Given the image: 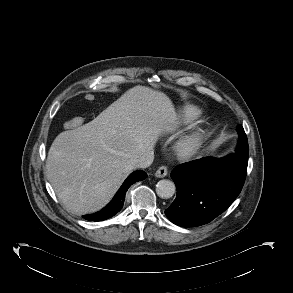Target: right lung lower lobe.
Segmentation results:
<instances>
[{"mask_svg":"<svg viewBox=\"0 0 293 293\" xmlns=\"http://www.w3.org/2000/svg\"><path fill=\"white\" fill-rule=\"evenodd\" d=\"M147 174L144 171H135L128 176L124 181L118 192L115 194L113 199L97 213L84 215L83 218L92 221H102L114 216L119 212L123 206L125 200V194L130 185L134 184L136 181L144 180Z\"/></svg>","mask_w":293,"mask_h":293,"instance_id":"98d812e1","label":"right lung lower lobe"}]
</instances>
